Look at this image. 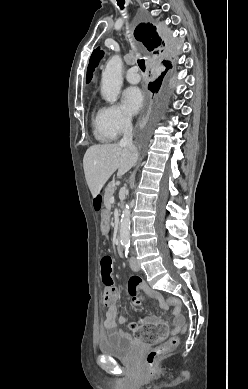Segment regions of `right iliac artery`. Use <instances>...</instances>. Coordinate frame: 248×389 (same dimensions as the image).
<instances>
[{
    "instance_id": "1",
    "label": "right iliac artery",
    "mask_w": 248,
    "mask_h": 389,
    "mask_svg": "<svg viewBox=\"0 0 248 389\" xmlns=\"http://www.w3.org/2000/svg\"><path fill=\"white\" fill-rule=\"evenodd\" d=\"M128 251H125V257H127Z\"/></svg>"
}]
</instances>
